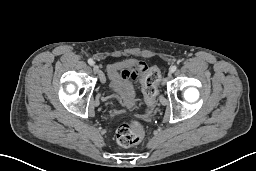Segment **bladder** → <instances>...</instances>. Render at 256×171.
<instances>
[{
    "instance_id": "1",
    "label": "bladder",
    "mask_w": 256,
    "mask_h": 171,
    "mask_svg": "<svg viewBox=\"0 0 256 171\" xmlns=\"http://www.w3.org/2000/svg\"><path fill=\"white\" fill-rule=\"evenodd\" d=\"M108 88L110 93L127 108L138 106V87L131 74H124L116 66H111L108 70Z\"/></svg>"
}]
</instances>
